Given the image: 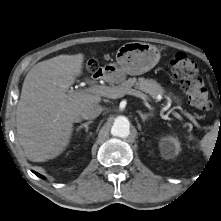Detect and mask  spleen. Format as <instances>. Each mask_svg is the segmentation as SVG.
<instances>
[{
	"label": "spleen",
	"instance_id": "obj_1",
	"mask_svg": "<svg viewBox=\"0 0 221 221\" xmlns=\"http://www.w3.org/2000/svg\"><path fill=\"white\" fill-rule=\"evenodd\" d=\"M218 123L214 124L213 129L207 133L200 142V146L206 156L211 154L218 133Z\"/></svg>",
	"mask_w": 221,
	"mask_h": 221
}]
</instances>
